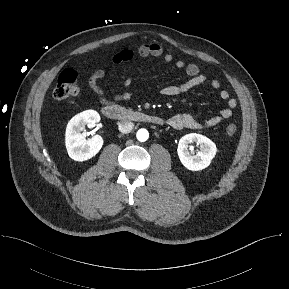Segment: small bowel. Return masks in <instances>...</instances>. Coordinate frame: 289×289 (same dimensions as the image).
<instances>
[{"instance_id":"c3829d8e","label":"small bowel","mask_w":289,"mask_h":289,"mask_svg":"<svg viewBox=\"0 0 289 289\" xmlns=\"http://www.w3.org/2000/svg\"><path fill=\"white\" fill-rule=\"evenodd\" d=\"M147 57H162L166 63L173 62V56L169 53H164L163 47L157 42L145 43L136 49H123L115 53L111 57V62L118 65L124 62L132 61L136 58ZM177 69H183L188 76V79L179 85H168L161 89V95L165 97H175L188 91L199 87L205 83H209L210 87L214 90H219V97L226 101V107L215 115L206 120L200 121L190 114H176L168 119V124L177 130L181 129H205L219 125L222 121L229 119L233 114V109L238 105L237 100L230 96V93L221 88V83L217 79L207 80V77L201 72V69L196 64H185L181 60L174 62ZM106 71L104 68L97 69L89 78V87L102 99L105 100H127L131 94L124 92L112 97L105 94L103 87L99 81L105 76Z\"/></svg>"}]
</instances>
